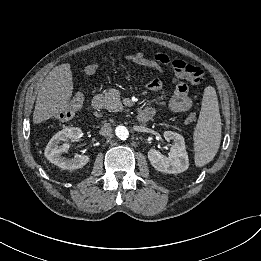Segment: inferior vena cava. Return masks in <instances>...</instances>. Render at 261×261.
I'll return each instance as SVG.
<instances>
[{
    "instance_id": "obj_1",
    "label": "inferior vena cava",
    "mask_w": 261,
    "mask_h": 261,
    "mask_svg": "<svg viewBox=\"0 0 261 261\" xmlns=\"http://www.w3.org/2000/svg\"><path fill=\"white\" fill-rule=\"evenodd\" d=\"M112 133V127L110 123H105L100 129V135L109 136Z\"/></svg>"
}]
</instances>
